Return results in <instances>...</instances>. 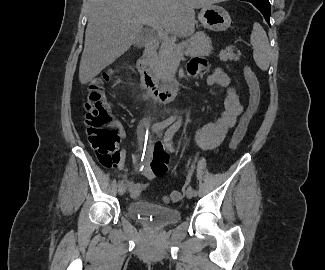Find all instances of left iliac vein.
I'll return each mask as SVG.
<instances>
[{"label":"left iliac vein","mask_w":325,"mask_h":270,"mask_svg":"<svg viewBox=\"0 0 325 270\" xmlns=\"http://www.w3.org/2000/svg\"><path fill=\"white\" fill-rule=\"evenodd\" d=\"M186 196L187 198L191 199L193 196H194V193H193V188L191 186H189L186 190Z\"/></svg>","instance_id":"obj_1"}]
</instances>
